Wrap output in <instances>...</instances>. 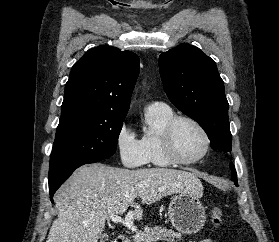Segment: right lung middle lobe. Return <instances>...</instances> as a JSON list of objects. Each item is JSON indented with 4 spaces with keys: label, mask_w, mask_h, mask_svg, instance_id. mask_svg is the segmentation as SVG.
I'll list each match as a JSON object with an SVG mask.
<instances>
[{
    "label": "right lung middle lobe",
    "mask_w": 279,
    "mask_h": 242,
    "mask_svg": "<svg viewBox=\"0 0 279 242\" xmlns=\"http://www.w3.org/2000/svg\"><path fill=\"white\" fill-rule=\"evenodd\" d=\"M124 119L83 111L62 114L51 154L49 180L84 159L112 156Z\"/></svg>",
    "instance_id": "right-lung-middle-lobe-1"
}]
</instances>
